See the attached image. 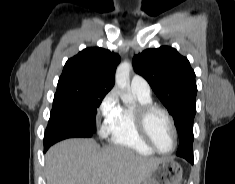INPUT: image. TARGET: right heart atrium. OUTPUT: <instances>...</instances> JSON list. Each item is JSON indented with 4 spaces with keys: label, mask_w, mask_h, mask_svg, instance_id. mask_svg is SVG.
<instances>
[{
    "label": "right heart atrium",
    "mask_w": 235,
    "mask_h": 184,
    "mask_svg": "<svg viewBox=\"0 0 235 184\" xmlns=\"http://www.w3.org/2000/svg\"><path fill=\"white\" fill-rule=\"evenodd\" d=\"M120 110L117 93L112 90L101 100L94 114V124L99 138H105L112 133Z\"/></svg>",
    "instance_id": "1"
}]
</instances>
